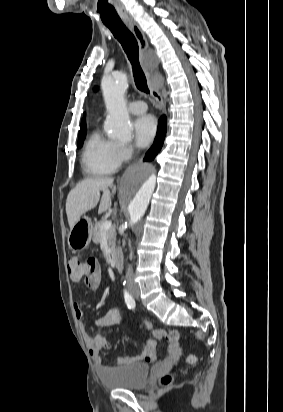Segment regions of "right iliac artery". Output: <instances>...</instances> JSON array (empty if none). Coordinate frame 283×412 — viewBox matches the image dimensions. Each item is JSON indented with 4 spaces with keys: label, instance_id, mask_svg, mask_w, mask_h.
<instances>
[{
    "label": "right iliac artery",
    "instance_id": "right-iliac-artery-1",
    "mask_svg": "<svg viewBox=\"0 0 283 412\" xmlns=\"http://www.w3.org/2000/svg\"><path fill=\"white\" fill-rule=\"evenodd\" d=\"M124 299L129 309H135V306H136L135 300L126 290L124 291Z\"/></svg>",
    "mask_w": 283,
    "mask_h": 412
}]
</instances>
